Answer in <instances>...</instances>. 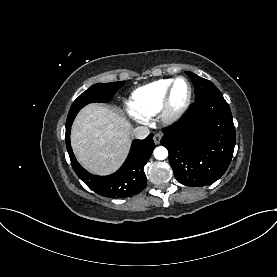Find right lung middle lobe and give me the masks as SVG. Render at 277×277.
Segmentation results:
<instances>
[{
    "mask_svg": "<svg viewBox=\"0 0 277 277\" xmlns=\"http://www.w3.org/2000/svg\"><path fill=\"white\" fill-rule=\"evenodd\" d=\"M124 83L125 81L98 83L88 88L73 102L68 113L66 127L72 125L75 116L85 105L92 102H106L112 99L116 91L122 87Z\"/></svg>",
    "mask_w": 277,
    "mask_h": 277,
    "instance_id": "right-lung-middle-lobe-1",
    "label": "right lung middle lobe"
}]
</instances>
